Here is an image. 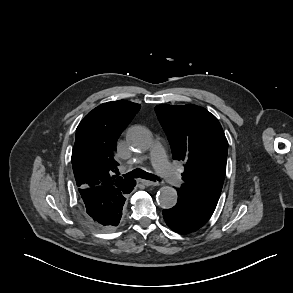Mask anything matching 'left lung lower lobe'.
Masks as SVG:
<instances>
[{
	"label": "left lung lower lobe",
	"mask_w": 293,
	"mask_h": 293,
	"mask_svg": "<svg viewBox=\"0 0 293 293\" xmlns=\"http://www.w3.org/2000/svg\"><path fill=\"white\" fill-rule=\"evenodd\" d=\"M214 210L198 199L185 195L178 190L176 205L163 210V217L172 231L185 235L204 226Z\"/></svg>",
	"instance_id": "obj_1"
}]
</instances>
